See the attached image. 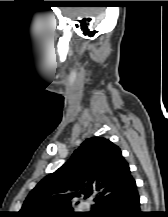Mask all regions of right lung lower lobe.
<instances>
[{
  "label": "right lung lower lobe",
  "mask_w": 168,
  "mask_h": 217,
  "mask_svg": "<svg viewBox=\"0 0 168 217\" xmlns=\"http://www.w3.org/2000/svg\"><path fill=\"white\" fill-rule=\"evenodd\" d=\"M140 211V197L135 188L126 196L108 202L93 217H144Z\"/></svg>",
  "instance_id": "1"
}]
</instances>
